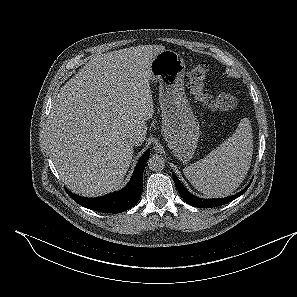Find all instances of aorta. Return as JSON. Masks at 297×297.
<instances>
[{
	"instance_id": "aorta-1",
	"label": "aorta",
	"mask_w": 297,
	"mask_h": 297,
	"mask_svg": "<svg viewBox=\"0 0 297 297\" xmlns=\"http://www.w3.org/2000/svg\"><path fill=\"white\" fill-rule=\"evenodd\" d=\"M147 163L152 171H161L165 168V158L160 154L150 156Z\"/></svg>"
}]
</instances>
